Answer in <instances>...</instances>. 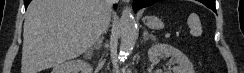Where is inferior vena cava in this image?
I'll return each instance as SVG.
<instances>
[{
    "instance_id": "602c4592",
    "label": "inferior vena cava",
    "mask_w": 244,
    "mask_h": 73,
    "mask_svg": "<svg viewBox=\"0 0 244 73\" xmlns=\"http://www.w3.org/2000/svg\"><path fill=\"white\" fill-rule=\"evenodd\" d=\"M114 0H102L101 1V6H102V10H103V14H102V23H103V27H102V32H105L109 22H110V16H111V10H112V4H113Z\"/></svg>"
}]
</instances>
